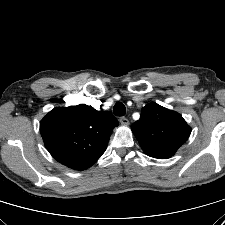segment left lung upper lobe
<instances>
[{"label":"left lung upper lobe","mask_w":225,"mask_h":225,"mask_svg":"<svg viewBox=\"0 0 225 225\" xmlns=\"http://www.w3.org/2000/svg\"><path fill=\"white\" fill-rule=\"evenodd\" d=\"M131 129L143 151L158 159L173 156L191 133V128L179 113L155 102L142 108L140 119Z\"/></svg>","instance_id":"5c2ea615"}]
</instances>
